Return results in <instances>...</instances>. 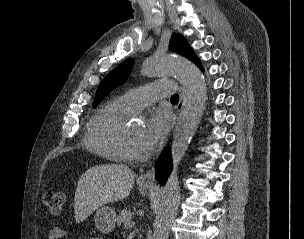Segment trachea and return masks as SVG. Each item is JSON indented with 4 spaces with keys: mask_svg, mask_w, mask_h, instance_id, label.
<instances>
[{
    "mask_svg": "<svg viewBox=\"0 0 304 239\" xmlns=\"http://www.w3.org/2000/svg\"><path fill=\"white\" fill-rule=\"evenodd\" d=\"M170 100H171V101H174V102H178V100H179V95H178V94L172 95Z\"/></svg>",
    "mask_w": 304,
    "mask_h": 239,
    "instance_id": "3493384b",
    "label": "trachea"
}]
</instances>
